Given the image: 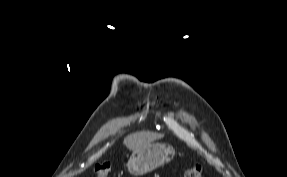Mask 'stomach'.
<instances>
[{
  "label": "stomach",
  "instance_id": "stomach-1",
  "mask_svg": "<svg viewBox=\"0 0 287 177\" xmlns=\"http://www.w3.org/2000/svg\"><path fill=\"white\" fill-rule=\"evenodd\" d=\"M175 155L172 146L162 143H150L133 150L127 168L131 175L141 176L168 163Z\"/></svg>",
  "mask_w": 287,
  "mask_h": 177
}]
</instances>
